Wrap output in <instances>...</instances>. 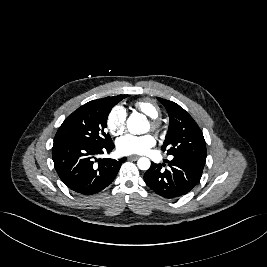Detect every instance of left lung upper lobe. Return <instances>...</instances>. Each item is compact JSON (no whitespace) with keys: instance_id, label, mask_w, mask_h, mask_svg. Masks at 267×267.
I'll return each mask as SVG.
<instances>
[{"instance_id":"1","label":"left lung upper lobe","mask_w":267,"mask_h":267,"mask_svg":"<svg viewBox=\"0 0 267 267\" xmlns=\"http://www.w3.org/2000/svg\"><path fill=\"white\" fill-rule=\"evenodd\" d=\"M169 115V128L162 150L172 156L206 161V143L202 131L193 118L178 104L157 98Z\"/></svg>"}]
</instances>
